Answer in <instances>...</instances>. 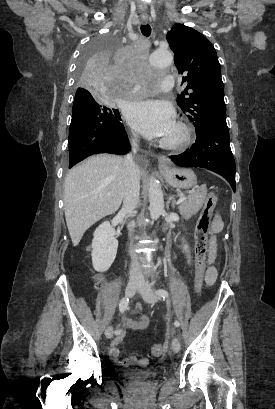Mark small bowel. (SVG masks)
Here are the masks:
<instances>
[{
    "mask_svg": "<svg viewBox=\"0 0 275 409\" xmlns=\"http://www.w3.org/2000/svg\"><path fill=\"white\" fill-rule=\"evenodd\" d=\"M222 220L221 218L216 215L213 222H212V227H211V242H210V250H209V256H208V264L210 267L208 268V271H211L215 269L213 266L215 260H216V255H217V244H216V235L222 230ZM185 249V255L187 259V263H191V255H190V250L187 245L184 247ZM216 270V269H215ZM217 277V275H216ZM215 279H211L209 277L206 278V282L208 285H212L215 282ZM136 311L140 313L139 316L135 317H129L125 320V325L130 328V329H135V330H140V329H146L150 326V317L144 313V308L141 304H138L136 307ZM123 338L122 334L117 335L110 343V348H109V354L111 358L116 361L120 362L122 365H139V366H145L147 365L148 361L147 359L144 358H137L136 356H130L124 359L120 358V350L118 348L119 343L121 342Z\"/></svg>",
    "mask_w": 275,
    "mask_h": 409,
    "instance_id": "c3829d8e",
    "label": "small bowel"
}]
</instances>
